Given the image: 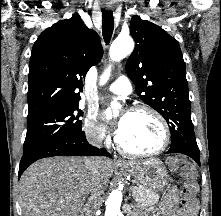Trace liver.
Here are the masks:
<instances>
[{
	"label": "liver",
	"instance_id": "liver-1",
	"mask_svg": "<svg viewBox=\"0 0 221 216\" xmlns=\"http://www.w3.org/2000/svg\"><path fill=\"white\" fill-rule=\"evenodd\" d=\"M53 157L30 165L19 181L22 216H79L90 193L87 160ZM100 182L105 187L113 175V162L96 157Z\"/></svg>",
	"mask_w": 221,
	"mask_h": 216
}]
</instances>
